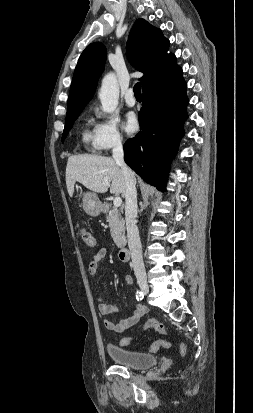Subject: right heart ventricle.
Here are the masks:
<instances>
[{
  "label": "right heart ventricle",
  "mask_w": 253,
  "mask_h": 413,
  "mask_svg": "<svg viewBox=\"0 0 253 413\" xmlns=\"http://www.w3.org/2000/svg\"><path fill=\"white\" fill-rule=\"evenodd\" d=\"M81 139H82L84 146L87 149H91V150L96 149L94 145L93 132H91L88 127L83 128L82 133H81Z\"/></svg>",
  "instance_id": "e07e8e85"
}]
</instances>
